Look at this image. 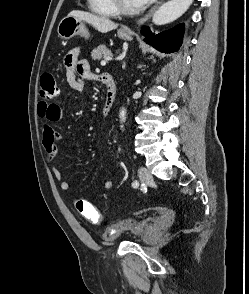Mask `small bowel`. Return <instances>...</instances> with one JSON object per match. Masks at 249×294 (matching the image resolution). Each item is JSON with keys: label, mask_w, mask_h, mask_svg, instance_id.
Wrapping results in <instances>:
<instances>
[{"label": "small bowel", "mask_w": 249, "mask_h": 294, "mask_svg": "<svg viewBox=\"0 0 249 294\" xmlns=\"http://www.w3.org/2000/svg\"><path fill=\"white\" fill-rule=\"evenodd\" d=\"M81 49L79 47L73 48L66 55L65 60V74L66 81L72 89L83 90L84 80H98L99 75L91 72V67L86 59H80ZM38 114L44 120L43 123V147L47 153L48 160L53 162L59 153L57 142L64 138V136L57 132L54 124H57L65 119V112L58 104H49L40 102L38 106ZM52 173L54 178L59 182V187L63 191L70 188V183L64 178L62 171L52 166ZM103 187L107 190L113 187V182L110 179H105ZM172 212H165L162 214V219H169Z\"/></svg>", "instance_id": "obj_1"}]
</instances>
